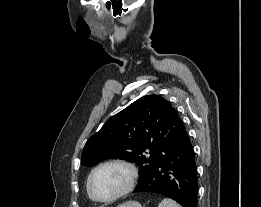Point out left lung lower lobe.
Returning <instances> with one entry per match:
<instances>
[{"mask_svg": "<svg viewBox=\"0 0 261 207\" xmlns=\"http://www.w3.org/2000/svg\"><path fill=\"white\" fill-rule=\"evenodd\" d=\"M197 181L195 153L184 128L174 149L138 183L134 193H157L183 207H196Z\"/></svg>", "mask_w": 261, "mask_h": 207, "instance_id": "left-lung-lower-lobe-1", "label": "left lung lower lobe"}]
</instances>
